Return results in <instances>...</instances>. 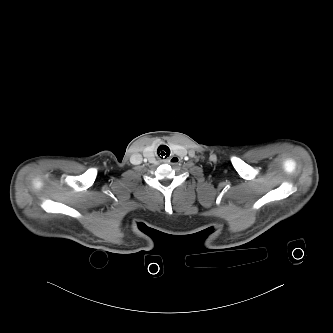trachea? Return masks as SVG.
<instances>
[{
    "instance_id": "1",
    "label": "trachea",
    "mask_w": 333,
    "mask_h": 333,
    "mask_svg": "<svg viewBox=\"0 0 333 333\" xmlns=\"http://www.w3.org/2000/svg\"><path fill=\"white\" fill-rule=\"evenodd\" d=\"M157 153H158V155H159V153H160L161 156H165V155H166V157H167V156L170 155V149H169V147L166 146V145H160V146L158 147V149H157ZM166 157H165V158H166ZM161 158H163V157H161Z\"/></svg>"
}]
</instances>
